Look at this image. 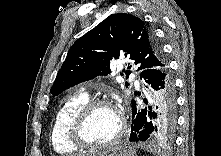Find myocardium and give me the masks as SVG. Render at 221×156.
I'll use <instances>...</instances> for the list:
<instances>
[{
  "label": "myocardium",
  "mask_w": 221,
  "mask_h": 156,
  "mask_svg": "<svg viewBox=\"0 0 221 156\" xmlns=\"http://www.w3.org/2000/svg\"><path fill=\"white\" fill-rule=\"evenodd\" d=\"M101 107H108L113 109L119 118V128L116 134L109 139L108 141L100 144H94L86 141L82 135L83 127L90 116V114ZM126 130V123L125 120L118 110V108L109 100L106 99H93L87 101L83 106H81L78 111L73 115L72 119L68 125V139L69 141L76 146L77 148L81 149H104L108 148L114 144H116L123 136Z\"/></svg>",
  "instance_id": "f54148a6"
}]
</instances>
